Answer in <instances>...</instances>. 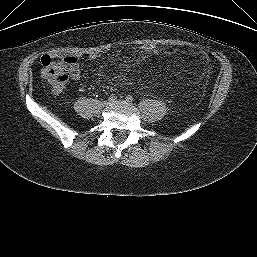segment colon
Returning a JSON list of instances; mask_svg holds the SVG:
<instances>
[{"mask_svg":"<svg viewBox=\"0 0 257 257\" xmlns=\"http://www.w3.org/2000/svg\"><path fill=\"white\" fill-rule=\"evenodd\" d=\"M141 49L145 53H152L157 50V47L153 44H144L142 45ZM41 63L43 76L47 79V81L52 85L55 90H62L68 79L65 70H63L48 55H44L42 57Z\"/></svg>","mask_w":257,"mask_h":257,"instance_id":"colon-1","label":"colon"}]
</instances>
